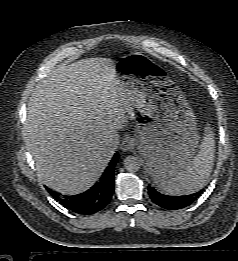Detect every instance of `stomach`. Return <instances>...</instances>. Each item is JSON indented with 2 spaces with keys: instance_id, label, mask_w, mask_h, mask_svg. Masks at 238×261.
Instances as JSON below:
<instances>
[{
  "instance_id": "0dacf381",
  "label": "stomach",
  "mask_w": 238,
  "mask_h": 261,
  "mask_svg": "<svg viewBox=\"0 0 238 261\" xmlns=\"http://www.w3.org/2000/svg\"><path fill=\"white\" fill-rule=\"evenodd\" d=\"M114 68L149 174L159 183L175 177L192 160L199 143L196 118L185 95L152 62L125 57Z\"/></svg>"
}]
</instances>
